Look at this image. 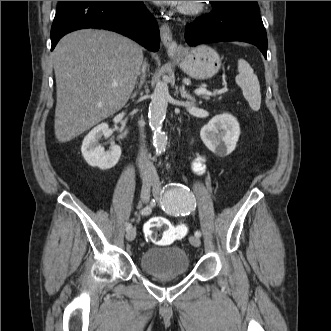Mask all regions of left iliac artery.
<instances>
[{
	"label": "left iliac artery",
	"mask_w": 331,
	"mask_h": 331,
	"mask_svg": "<svg viewBox=\"0 0 331 331\" xmlns=\"http://www.w3.org/2000/svg\"><path fill=\"white\" fill-rule=\"evenodd\" d=\"M161 204L166 213L180 217L188 216L196 206L190 189L179 183H171L166 186ZM195 236L200 237L201 232L196 231Z\"/></svg>",
	"instance_id": "obj_1"
}]
</instances>
